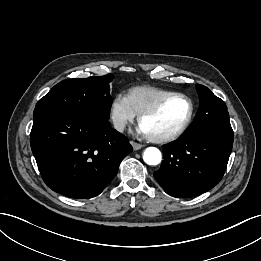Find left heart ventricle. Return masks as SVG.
I'll list each match as a JSON object with an SVG mask.
<instances>
[{
  "mask_svg": "<svg viewBox=\"0 0 261 261\" xmlns=\"http://www.w3.org/2000/svg\"><path fill=\"white\" fill-rule=\"evenodd\" d=\"M189 112V105L182 98L169 99L160 110L145 117L141 126L151 136H162L178 129L185 121Z\"/></svg>",
  "mask_w": 261,
  "mask_h": 261,
  "instance_id": "left-heart-ventricle-1",
  "label": "left heart ventricle"
}]
</instances>
